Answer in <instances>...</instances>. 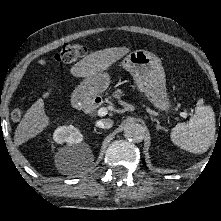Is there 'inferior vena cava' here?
Instances as JSON below:
<instances>
[{"label":"inferior vena cava","instance_id":"inferior-vena-cava-1","mask_svg":"<svg viewBox=\"0 0 221 221\" xmlns=\"http://www.w3.org/2000/svg\"><path fill=\"white\" fill-rule=\"evenodd\" d=\"M113 125V121L111 119H102L96 122V126L102 129H109Z\"/></svg>","mask_w":221,"mask_h":221}]
</instances>
